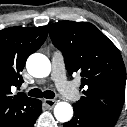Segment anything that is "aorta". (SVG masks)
<instances>
[{"mask_svg": "<svg viewBox=\"0 0 127 127\" xmlns=\"http://www.w3.org/2000/svg\"><path fill=\"white\" fill-rule=\"evenodd\" d=\"M26 68L33 77L44 78L51 71V63L45 55L34 53L27 59ZM54 116L59 122H68L73 116V108L68 102H59L54 107Z\"/></svg>", "mask_w": 127, "mask_h": 127, "instance_id": "762f6f07", "label": "aorta"}]
</instances>
